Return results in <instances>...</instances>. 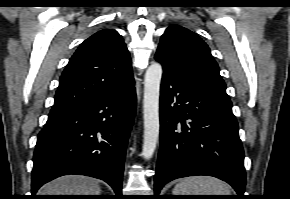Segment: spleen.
Wrapping results in <instances>:
<instances>
[{"label": "spleen", "instance_id": "1", "mask_svg": "<svg viewBox=\"0 0 290 199\" xmlns=\"http://www.w3.org/2000/svg\"><path fill=\"white\" fill-rule=\"evenodd\" d=\"M173 195H231L229 186L214 177L194 176L180 180Z\"/></svg>", "mask_w": 290, "mask_h": 199}]
</instances>
